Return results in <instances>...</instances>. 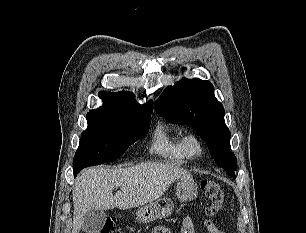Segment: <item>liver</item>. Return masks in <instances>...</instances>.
Here are the masks:
<instances>
[{
	"label": "liver",
	"mask_w": 306,
	"mask_h": 233,
	"mask_svg": "<svg viewBox=\"0 0 306 233\" xmlns=\"http://www.w3.org/2000/svg\"><path fill=\"white\" fill-rule=\"evenodd\" d=\"M192 178L186 170L171 164L147 162L129 168L102 166L84 169L73 188V230L79 233L85 214L92 208L130 209L151 203L180 179ZM121 190L113 195V189Z\"/></svg>",
	"instance_id": "liver-1"
}]
</instances>
